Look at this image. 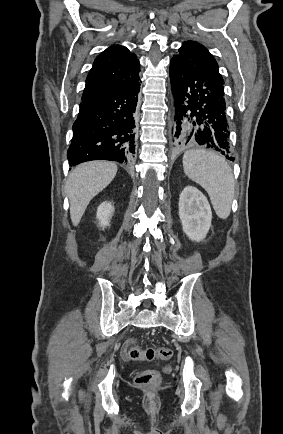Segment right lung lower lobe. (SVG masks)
<instances>
[{"instance_id":"98d812e1","label":"right lung lower lobe","mask_w":283,"mask_h":434,"mask_svg":"<svg viewBox=\"0 0 283 434\" xmlns=\"http://www.w3.org/2000/svg\"><path fill=\"white\" fill-rule=\"evenodd\" d=\"M139 90L137 79L121 90L81 102L67 152L72 166L90 160L127 163L132 159L135 153L134 112Z\"/></svg>"}]
</instances>
